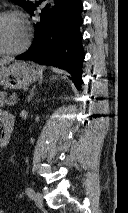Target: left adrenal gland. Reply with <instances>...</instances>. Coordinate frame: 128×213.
Segmentation results:
<instances>
[{
  "instance_id": "a2214340",
  "label": "left adrenal gland",
  "mask_w": 128,
  "mask_h": 213,
  "mask_svg": "<svg viewBox=\"0 0 128 213\" xmlns=\"http://www.w3.org/2000/svg\"><path fill=\"white\" fill-rule=\"evenodd\" d=\"M34 89L35 87L32 88L30 95L27 97L28 102H30L32 100V97L34 96Z\"/></svg>"
}]
</instances>
